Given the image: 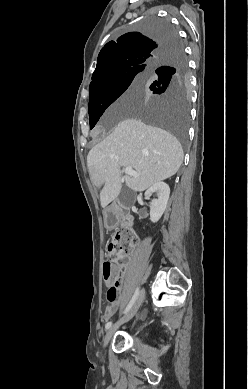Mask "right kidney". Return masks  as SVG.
<instances>
[{
  "instance_id": "1",
  "label": "right kidney",
  "mask_w": 248,
  "mask_h": 389,
  "mask_svg": "<svg viewBox=\"0 0 248 389\" xmlns=\"http://www.w3.org/2000/svg\"><path fill=\"white\" fill-rule=\"evenodd\" d=\"M154 193L157 194L158 198L153 199L150 203V219L153 223L161 218L167 207L170 188L166 183L158 182L145 192V196L149 198Z\"/></svg>"
}]
</instances>
